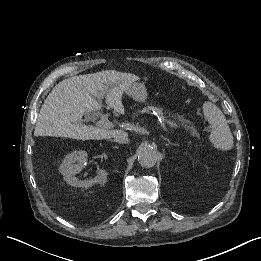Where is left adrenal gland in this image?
<instances>
[{
    "label": "left adrenal gland",
    "mask_w": 261,
    "mask_h": 261,
    "mask_svg": "<svg viewBox=\"0 0 261 261\" xmlns=\"http://www.w3.org/2000/svg\"><path fill=\"white\" fill-rule=\"evenodd\" d=\"M161 138H163L165 141H167L166 145H175L174 143H172L168 138L164 137L163 135H161Z\"/></svg>",
    "instance_id": "1"
}]
</instances>
